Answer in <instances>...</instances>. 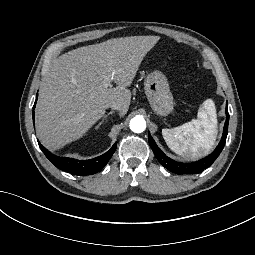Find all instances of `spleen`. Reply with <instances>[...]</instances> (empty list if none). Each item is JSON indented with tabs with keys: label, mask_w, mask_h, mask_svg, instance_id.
I'll list each match as a JSON object with an SVG mask.
<instances>
[{
	"label": "spleen",
	"mask_w": 255,
	"mask_h": 255,
	"mask_svg": "<svg viewBox=\"0 0 255 255\" xmlns=\"http://www.w3.org/2000/svg\"><path fill=\"white\" fill-rule=\"evenodd\" d=\"M199 114L201 117L198 120L162 130L166 144L176 154H188L197 158L210 152L217 136V115L214 102L211 99L204 101Z\"/></svg>",
	"instance_id": "spleen-1"
}]
</instances>
